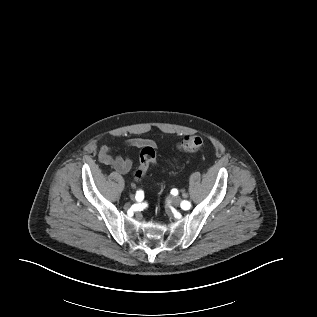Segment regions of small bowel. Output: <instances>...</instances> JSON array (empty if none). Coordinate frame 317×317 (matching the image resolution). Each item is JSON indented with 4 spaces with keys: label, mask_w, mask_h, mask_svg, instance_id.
<instances>
[{
    "label": "small bowel",
    "mask_w": 317,
    "mask_h": 317,
    "mask_svg": "<svg viewBox=\"0 0 317 317\" xmlns=\"http://www.w3.org/2000/svg\"><path fill=\"white\" fill-rule=\"evenodd\" d=\"M148 144V140L141 138H130L123 142V145L127 148H141ZM98 157L102 164L114 168L121 174H127L132 169L133 163L130 157L114 155L111 148L107 145L100 147Z\"/></svg>",
    "instance_id": "1"
}]
</instances>
